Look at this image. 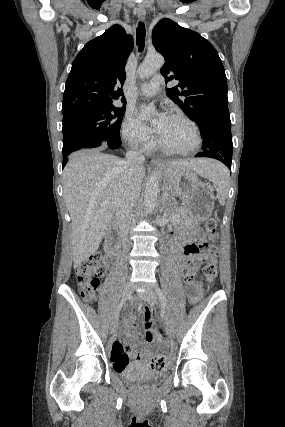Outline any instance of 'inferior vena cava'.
<instances>
[{
	"label": "inferior vena cava",
	"instance_id": "602c4592",
	"mask_svg": "<svg viewBox=\"0 0 285 427\" xmlns=\"http://www.w3.org/2000/svg\"><path fill=\"white\" fill-rule=\"evenodd\" d=\"M145 158L143 155L134 150H129L126 153V160L124 161V169L126 180L130 183L133 175L142 169ZM139 196V189L134 186L127 187L122 193L117 210L116 219L120 228L123 238V244L126 245L127 234L132 224V208L134 207L135 200Z\"/></svg>",
	"mask_w": 285,
	"mask_h": 427
}]
</instances>
